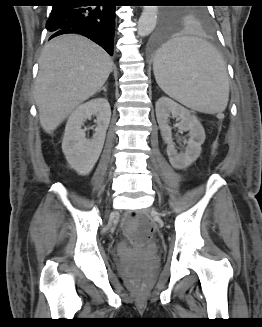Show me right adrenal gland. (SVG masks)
I'll list each match as a JSON object with an SVG mask.
<instances>
[{
	"label": "right adrenal gland",
	"mask_w": 262,
	"mask_h": 327,
	"mask_svg": "<svg viewBox=\"0 0 262 327\" xmlns=\"http://www.w3.org/2000/svg\"><path fill=\"white\" fill-rule=\"evenodd\" d=\"M101 91H104V92L106 93V92H107V90H106V86L102 87V88L99 90V92H101Z\"/></svg>",
	"instance_id": "1"
}]
</instances>
